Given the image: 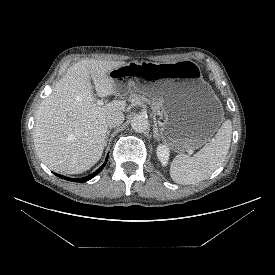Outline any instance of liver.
<instances>
[{
  "label": "liver",
  "mask_w": 275,
  "mask_h": 275,
  "mask_svg": "<svg viewBox=\"0 0 275 275\" xmlns=\"http://www.w3.org/2000/svg\"><path fill=\"white\" fill-rule=\"evenodd\" d=\"M124 61L85 59L68 68L36 112L33 140L39 158L51 170L82 173L102 156L107 134L106 118L123 112L124 101L98 105L93 95H118L108 73Z\"/></svg>",
  "instance_id": "liver-1"
}]
</instances>
